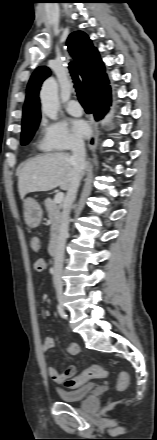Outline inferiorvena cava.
<instances>
[{
	"label": "inferior vena cava",
	"instance_id": "602c4592",
	"mask_svg": "<svg viewBox=\"0 0 157 440\" xmlns=\"http://www.w3.org/2000/svg\"><path fill=\"white\" fill-rule=\"evenodd\" d=\"M72 160L74 163L75 174L64 201V210L61 217L59 234L56 241L54 254V272L53 283L56 290H62V270L64 262V252L66 239L69 230V215L73 202L76 199L77 191L80 185L82 171L85 167V145L82 139H75L72 143Z\"/></svg>",
	"mask_w": 157,
	"mask_h": 440
}]
</instances>
